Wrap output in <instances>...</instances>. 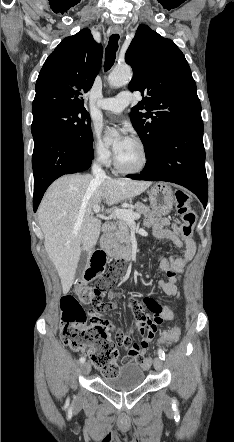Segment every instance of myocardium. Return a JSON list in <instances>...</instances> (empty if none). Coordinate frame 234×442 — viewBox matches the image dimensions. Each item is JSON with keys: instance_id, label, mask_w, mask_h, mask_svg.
<instances>
[{"instance_id": "f54148a6", "label": "myocardium", "mask_w": 234, "mask_h": 442, "mask_svg": "<svg viewBox=\"0 0 234 442\" xmlns=\"http://www.w3.org/2000/svg\"><path fill=\"white\" fill-rule=\"evenodd\" d=\"M132 141L139 147L142 156L141 162L137 167L131 169L124 168L118 162L117 156L115 155L114 157L115 169L125 175H132L142 172L147 167L149 161V153L145 143L139 138H133Z\"/></svg>"}]
</instances>
